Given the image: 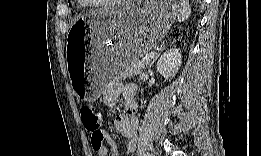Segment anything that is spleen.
Masks as SVG:
<instances>
[{
	"label": "spleen",
	"instance_id": "3e777b00",
	"mask_svg": "<svg viewBox=\"0 0 261 156\" xmlns=\"http://www.w3.org/2000/svg\"><path fill=\"white\" fill-rule=\"evenodd\" d=\"M178 12H179V14H178L179 22H183V21L187 20L191 14V7L189 5V2L185 1V0L181 1Z\"/></svg>",
	"mask_w": 261,
	"mask_h": 156
}]
</instances>
